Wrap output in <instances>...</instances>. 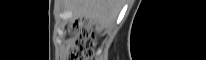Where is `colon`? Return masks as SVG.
I'll list each match as a JSON object with an SVG mask.
<instances>
[{"mask_svg": "<svg viewBox=\"0 0 206 60\" xmlns=\"http://www.w3.org/2000/svg\"><path fill=\"white\" fill-rule=\"evenodd\" d=\"M71 32L75 35V43L71 51L72 60H88L90 59L94 41L93 38L96 37V33L93 30L86 26L83 21H78L71 25ZM90 38L89 41H86V38Z\"/></svg>", "mask_w": 206, "mask_h": 60, "instance_id": "5ec220e1", "label": "colon"}]
</instances>
